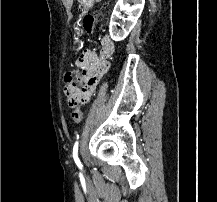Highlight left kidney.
Listing matches in <instances>:
<instances>
[{
	"label": "left kidney",
	"instance_id": "5707ae66",
	"mask_svg": "<svg viewBox=\"0 0 217 202\" xmlns=\"http://www.w3.org/2000/svg\"><path fill=\"white\" fill-rule=\"evenodd\" d=\"M129 2H132L133 6L124 4V0H119L112 12L109 34L114 42L125 40L142 14L145 0H129ZM121 12H126L127 18H121ZM117 20H124V22L119 24ZM117 26H120V30H118Z\"/></svg>",
	"mask_w": 217,
	"mask_h": 202
}]
</instances>
